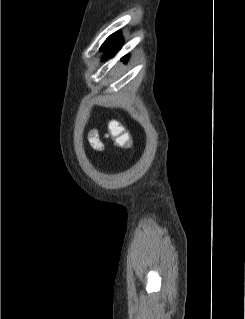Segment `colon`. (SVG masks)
Segmentation results:
<instances>
[{"label": "colon", "mask_w": 245, "mask_h": 319, "mask_svg": "<svg viewBox=\"0 0 245 319\" xmlns=\"http://www.w3.org/2000/svg\"><path fill=\"white\" fill-rule=\"evenodd\" d=\"M107 136L113 140L114 145L119 149L131 147V138L126 129L119 123H110L107 128Z\"/></svg>", "instance_id": "obj_1"}]
</instances>
